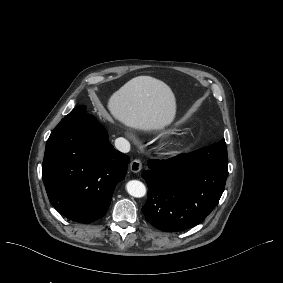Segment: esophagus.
Here are the masks:
<instances>
[{
    "label": "esophagus",
    "mask_w": 283,
    "mask_h": 283,
    "mask_svg": "<svg viewBox=\"0 0 283 283\" xmlns=\"http://www.w3.org/2000/svg\"><path fill=\"white\" fill-rule=\"evenodd\" d=\"M130 169L132 172L137 173L142 169V162L139 159H134L130 163Z\"/></svg>",
    "instance_id": "esophagus-1"
}]
</instances>
